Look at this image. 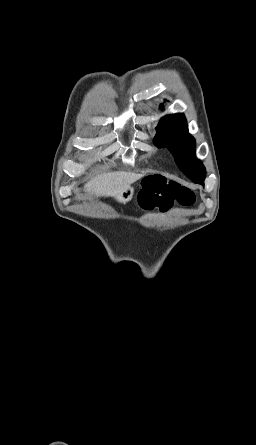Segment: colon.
<instances>
[{
	"label": "colon",
	"mask_w": 256,
	"mask_h": 445,
	"mask_svg": "<svg viewBox=\"0 0 256 445\" xmlns=\"http://www.w3.org/2000/svg\"><path fill=\"white\" fill-rule=\"evenodd\" d=\"M138 201L145 211H168L174 205L190 206L195 201L194 192L180 184L161 177H149L139 192Z\"/></svg>",
	"instance_id": "1"
}]
</instances>
